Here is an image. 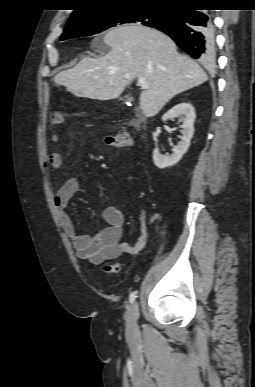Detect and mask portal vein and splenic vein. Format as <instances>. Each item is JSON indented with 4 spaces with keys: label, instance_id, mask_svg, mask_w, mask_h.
Here are the masks:
<instances>
[{
    "label": "portal vein and splenic vein",
    "instance_id": "portal-vein-and-splenic-vein-1",
    "mask_svg": "<svg viewBox=\"0 0 255 387\" xmlns=\"http://www.w3.org/2000/svg\"><path fill=\"white\" fill-rule=\"evenodd\" d=\"M138 84L142 87V88H146L147 87V82H146V79L144 77H139L138 78Z\"/></svg>",
    "mask_w": 255,
    "mask_h": 387
}]
</instances>
